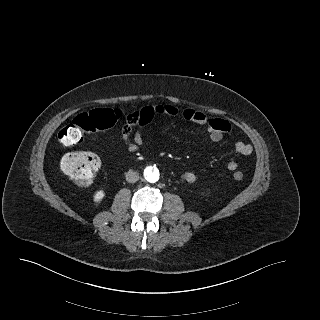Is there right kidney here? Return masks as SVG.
<instances>
[{
  "instance_id": "1",
  "label": "right kidney",
  "mask_w": 320,
  "mask_h": 320,
  "mask_svg": "<svg viewBox=\"0 0 320 320\" xmlns=\"http://www.w3.org/2000/svg\"><path fill=\"white\" fill-rule=\"evenodd\" d=\"M105 196V192L103 190H98L95 192L94 196H93V200L95 202H100Z\"/></svg>"
}]
</instances>
